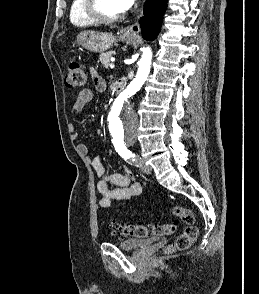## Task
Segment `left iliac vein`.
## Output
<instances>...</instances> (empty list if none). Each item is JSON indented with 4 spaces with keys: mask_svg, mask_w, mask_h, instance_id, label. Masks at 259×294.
<instances>
[{
    "mask_svg": "<svg viewBox=\"0 0 259 294\" xmlns=\"http://www.w3.org/2000/svg\"><path fill=\"white\" fill-rule=\"evenodd\" d=\"M138 166H139L140 170L143 173H145V174H151V172H152L151 167H149L148 165H146L143 159L139 158V160H138Z\"/></svg>",
    "mask_w": 259,
    "mask_h": 294,
    "instance_id": "left-iliac-vein-1",
    "label": "left iliac vein"
}]
</instances>
